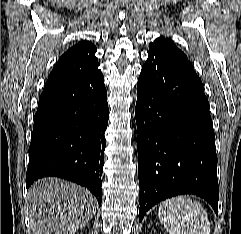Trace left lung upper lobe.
I'll return each mask as SVG.
<instances>
[{
  "label": "left lung upper lobe",
  "mask_w": 241,
  "mask_h": 234,
  "mask_svg": "<svg viewBox=\"0 0 241 234\" xmlns=\"http://www.w3.org/2000/svg\"><path fill=\"white\" fill-rule=\"evenodd\" d=\"M149 48H153V49H157V50H160V51H164V52H167L169 54H171L172 56L176 57V58H179L180 60H183V61H188L189 60L187 59L186 55L181 51L179 50L176 45L174 44V42L170 39H165V38H157L154 43H151L149 45Z\"/></svg>",
  "instance_id": "left-lung-upper-lobe-1"
}]
</instances>
